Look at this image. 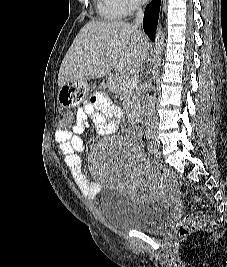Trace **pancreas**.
<instances>
[{"instance_id":"1","label":"pancreas","mask_w":227,"mask_h":267,"mask_svg":"<svg viewBox=\"0 0 227 267\" xmlns=\"http://www.w3.org/2000/svg\"><path fill=\"white\" fill-rule=\"evenodd\" d=\"M129 74L119 72L109 79V85L124 100L125 108L134 109L140 103V91L137 82L129 81Z\"/></svg>"}]
</instances>
